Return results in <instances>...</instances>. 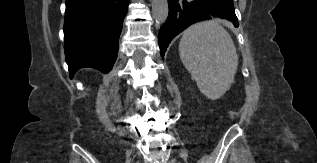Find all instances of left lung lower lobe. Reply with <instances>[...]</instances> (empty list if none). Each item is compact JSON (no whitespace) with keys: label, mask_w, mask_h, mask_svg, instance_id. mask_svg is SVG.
<instances>
[{"label":"left lung lower lobe","mask_w":317,"mask_h":163,"mask_svg":"<svg viewBox=\"0 0 317 163\" xmlns=\"http://www.w3.org/2000/svg\"><path fill=\"white\" fill-rule=\"evenodd\" d=\"M169 15L159 32L162 57L171 40L190 25L214 18H224L238 27L232 0H168Z\"/></svg>","instance_id":"0a47b994"}]
</instances>
